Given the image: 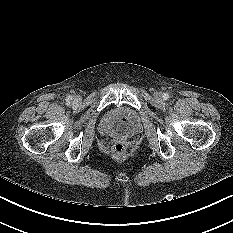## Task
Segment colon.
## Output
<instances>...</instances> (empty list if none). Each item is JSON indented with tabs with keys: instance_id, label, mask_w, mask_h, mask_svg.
<instances>
[{
	"instance_id": "obj_1",
	"label": "colon",
	"mask_w": 233,
	"mask_h": 233,
	"mask_svg": "<svg viewBox=\"0 0 233 233\" xmlns=\"http://www.w3.org/2000/svg\"><path fill=\"white\" fill-rule=\"evenodd\" d=\"M112 152L117 158H121L124 156L126 148L124 144L117 142L112 146Z\"/></svg>"
}]
</instances>
